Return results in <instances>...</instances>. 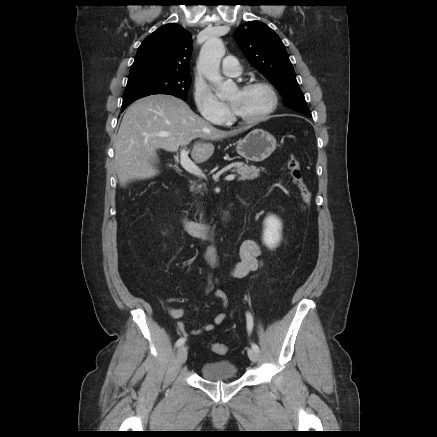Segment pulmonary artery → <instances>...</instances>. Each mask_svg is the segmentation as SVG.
Returning a JSON list of instances; mask_svg holds the SVG:
<instances>
[{
	"mask_svg": "<svg viewBox=\"0 0 437 437\" xmlns=\"http://www.w3.org/2000/svg\"><path fill=\"white\" fill-rule=\"evenodd\" d=\"M221 71L226 76H238L241 73V67L236 57L226 56L222 61Z\"/></svg>",
	"mask_w": 437,
	"mask_h": 437,
	"instance_id": "e3ab8cb5",
	"label": "pulmonary artery"
}]
</instances>
